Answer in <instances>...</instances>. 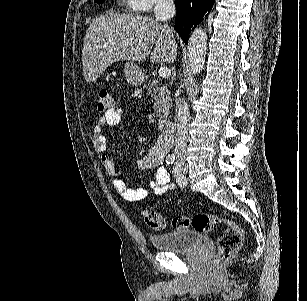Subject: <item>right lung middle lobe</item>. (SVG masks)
Here are the masks:
<instances>
[{
    "label": "right lung middle lobe",
    "instance_id": "right-lung-middle-lobe-1",
    "mask_svg": "<svg viewBox=\"0 0 307 301\" xmlns=\"http://www.w3.org/2000/svg\"><path fill=\"white\" fill-rule=\"evenodd\" d=\"M97 3H103L105 0H94Z\"/></svg>",
    "mask_w": 307,
    "mask_h": 301
}]
</instances>
